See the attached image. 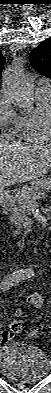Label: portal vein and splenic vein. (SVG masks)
Listing matches in <instances>:
<instances>
[{"mask_svg":"<svg viewBox=\"0 0 51 393\" xmlns=\"http://www.w3.org/2000/svg\"><path fill=\"white\" fill-rule=\"evenodd\" d=\"M42 195H43V194H42ZM40 196H41L40 193H35V194H33V195L28 194V195H27V199H29V200L31 201V200H34V199L39 198Z\"/></svg>","mask_w":51,"mask_h":393,"instance_id":"1","label":"portal vein and splenic vein"}]
</instances>
